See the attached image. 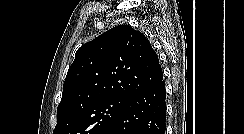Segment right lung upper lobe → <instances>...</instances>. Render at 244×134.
<instances>
[{
    "label": "right lung upper lobe",
    "instance_id": "cb5924a9",
    "mask_svg": "<svg viewBox=\"0 0 244 134\" xmlns=\"http://www.w3.org/2000/svg\"><path fill=\"white\" fill-rule=\"evenodd\" d=\"M162 80L158 56L143 33L129 25L114 27L77 50L57 120L108 98L128 99Z\"/></svg>",
    "mask_w": 244,
    "mask_h": 134
}]
</instances>
